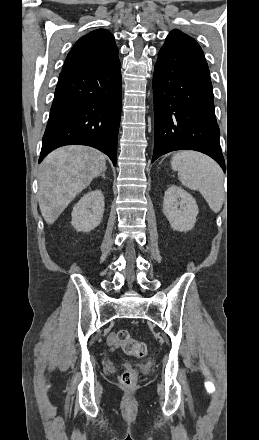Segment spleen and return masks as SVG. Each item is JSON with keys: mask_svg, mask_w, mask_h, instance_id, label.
<instances>
[{"mask_svg": "<svg viewBox=\"0 0 259 440\" xmlns=\"http://www.w3.org/2000/svg\"><path fill=\"white\" fill-rule=\"evenodd\" d=\"M171 167L184 186L198 190L212 211H220L225 198L224 176L213 159L195 151H181L172 157Z\"/></svg>", "mask_w": 259, "mask_h": 440, "instance_id": "3e777b00", "label": "spleen"}]
</instances>
